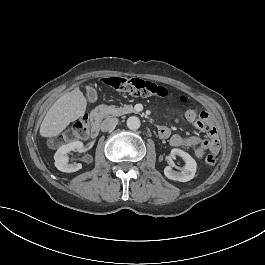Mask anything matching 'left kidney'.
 <instances>
[{
    "label": "left kidney",
    "mask_w": 265,
    "mask_h": 265,
    "mask_svg": "<svg viewBox=\"0 0 265 265\" xmlns=\"http://www.w3.org/2000/svg\"><path fill=\"white\" fill-rule=\"evenodd\" d=\"M171 156H180L185 161V166L180 172L172 170L170 166L165 167L164 174L168 179L187 182L194 178L197 168L196 161L185 151L174 148L171 150Z\"/></svg>",
    "instance_id": "5707ae66"
}]
</instances>
